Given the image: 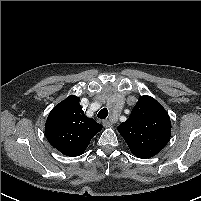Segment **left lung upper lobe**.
<instances>
[{
  "mask_svg": "<svg viewBox=\"0 0 201 201\" xmlns=\"http://www.w3.org/2000/svg\"><path fill=\"white\" fill-rule=\"evenodd\" d=\"M118 131L135 156L150 158L170 139V117L154 98L140 96L129 118L118 126Z\"/></svg>",
  "mask_w": 201,
  "mask_h": 201,
  "instance_id": "1",
  "label": "left lung upper lobe"
}]
</instances>
